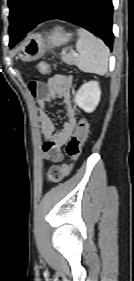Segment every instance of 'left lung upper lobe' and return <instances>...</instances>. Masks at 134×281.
Returning <instances> with one entry per match:
<instances>
[{
  "label": "left lung upper lobe",
  "mask_w": 134,
  "mask_h": 281,
  "mask_svg": "<svg viewBox=\"0 0 134 281\" xmlns=\"http://www.w3.org/2000/svg\"><path fill=\"white\" fill-rule=\"evenodd\" d=\"M46 0H8L10 8L9 46L17 43L16 36H24Z\"/></svg>",
  "instance_id": "obj_1"
}]
</instances>
